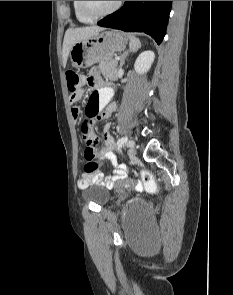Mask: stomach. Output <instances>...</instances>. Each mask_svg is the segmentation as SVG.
Here are the masks:
<instances>
[{
	"mask_svg": "<svg viewBox=\"0 0 233 295\" xmlns=\"http://www.w3.org/2000/svg\"><path fill=\"white\" fill-rule=\"evenodd\" d=\"M127 37L120 31H100L76 42L70 50V60L77 68H87L97 62L109 61L116 52L126 48Z\"/></svg>",
	"mask_w": 233,
	"mask_h": 295,
	"instance_id": "stomach-1",
	"label": "stomach"
}]
</instances>
